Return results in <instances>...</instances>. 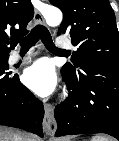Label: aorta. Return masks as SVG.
Masks as SVG:
<instances>
[{"mask_svg": "<svg viewBox=\"0 0 119 141\" xmlns=\"http://www.w3.org/2000/svg\"><path fill=\"white\" fill-rule=\"evenodd\" d=\"M44 17L49 26H57L62 21V13L57 8H49L44 14Z\"/></svg>", "mask_w": 119, "mask_h": 141, "instance_id": "1", "label": "aorta"}]
</instances>
